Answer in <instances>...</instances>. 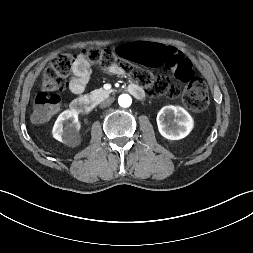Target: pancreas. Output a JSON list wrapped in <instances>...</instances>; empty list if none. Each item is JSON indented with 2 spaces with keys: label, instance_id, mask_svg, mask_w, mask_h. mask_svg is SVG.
Masks as SVG:
<instances>
[{
  "label": "pancreas",
  "instance_id": "obj_1",
  "mask_svg": "<svg viewBox=\"0 0 253 253\" xmlns=\"http://www.w3.org/2000/svg\"><path fill=\"white\" fill-rule=\"evenodd\" d=\"M110 93V91L104 90V89H96L90 93V96L95 99H99L103 96H106Z\"/></svg>",
  "mask_w": 253,
  "mask_h": 253
}]
</instances>
